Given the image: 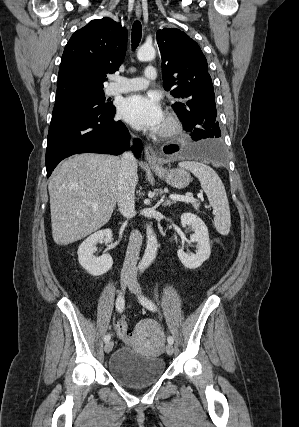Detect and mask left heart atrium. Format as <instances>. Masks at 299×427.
<instances>
[{"label": "left heart atrium", "instance_id": "obj_1", "mask_svg": "<svg viewBox=\"0 0 299 427\" xmlns=\"http://www.w3.org/2000/svg\"><path fill=\"white\" fill-rule=\"evenodd\" d=\"M119 112L126 122L137 129L158 131L164 124L163 110L154 96H128L121 101Z\"/></svg>", "mask_w": 299, "mask_h": 427}]
</instances>
